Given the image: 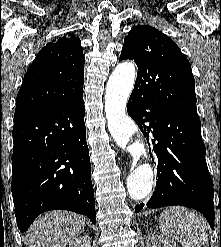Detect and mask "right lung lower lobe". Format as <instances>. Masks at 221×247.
<instances>
[{
  "label": "right lung lower lobe",
  "mask_w": 221,
  "mask_h": 247,
  "mask_svg": "<svg viewBox=\"0 0 221 247\" xmlns=\"http://www.w3.org/2000/svg\"><path fill=\"white\" fill-rule=\"evenodd\" d=\"M83 95L14 117L11 191L18 229L49 210H70L95 224Z\"/></svg>",
  "instance_id": "obj_1"
}]
</instances>
